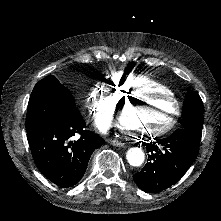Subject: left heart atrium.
Returning <instances> with one entry per match:
<instances>
[{
    "instance_id": "1",
    "label": "left heart atrium",
    "mask_w": 221,
    "mask_h": 221,
    "mask_svg": "<svg viewBox=\"0 0 221 221\" xmlns=\"http://www.w3.org/2000/svg\"><path fill=\"white\" fill-rule=\"evenodd\" d=\"M136 122V113L131 109H124L104 114L100 119V126L106 132H113L131 128Z\"/></svg>"
}]
</instances>
